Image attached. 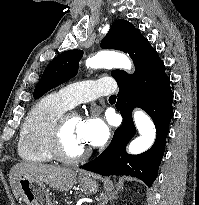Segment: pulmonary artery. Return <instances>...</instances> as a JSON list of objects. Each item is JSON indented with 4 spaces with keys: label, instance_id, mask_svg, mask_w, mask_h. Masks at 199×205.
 <instances>
[{
    "label": "pulmonary artery",
    "instance_id": "pulmonary-artery-1",
    "mask_svg": "<svg viewBox=\"0 0 199 205\" xmlns=\"http://www.w3.org/2000/svg\"><path fill=\"white\" fill-rule=\"evenodd\" d=\"M114 91L112 82L107 79H90L69 84L59 90V95L69 107L81 102L94 100Z\"/></svg>",
    "mask_w": 199,
    "mask_h": 205
}]
</instances>
